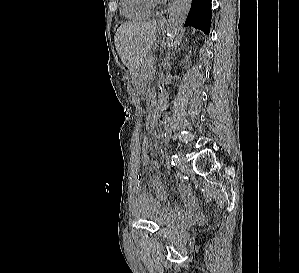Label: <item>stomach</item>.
Returning a JSON list of instances; mask_svg holds the SVG:
<instances>
[{
    "mask_svg": "<svg viewBox=\"0 0 299 273\" xmlns=\"http://www.w3.org/2000/svg\"><path fill=\"white\" fill-rule=\"evenodd\" d=\"M157 28H158L159 31H161V30H164L165 27H164V25L158 24ZM145 81H146V79L143 76H139V77L136 78L135 84H136L137 91L139 93L144 92V90H145Z\"/></svg>",
    "mask_w": 299,
    "mask_h": 273,
    "instance_id": "obj_1",
    "label": "stomach"
}]
</instances>
